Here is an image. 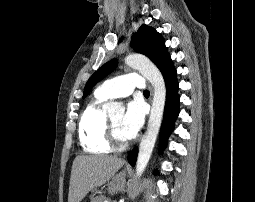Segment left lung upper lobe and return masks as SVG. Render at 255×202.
Segmentation results:
<instances>
[{
    "mask_svg": "<svg viewBox=\"0 0 255 202\" xmlns=\"http://www.w3.org/2000/svg\"><path fill=\"white\" fill-rule=\"evenodd\" d=\"M133 49L147 56L161 71L165 82L176 74L173 62L166 50L161 35L153 28L142 25L136 35L132 37ZM117 66V60L112 59L99 68L88 80L83 98H85L94 85L110 74Z\"/></svg>",
    "mask_w": 255,
    "mask_h": 202,
    "instance_id": "obj_1",
    "label": "left lung upper lobe"
}]
</instances>
